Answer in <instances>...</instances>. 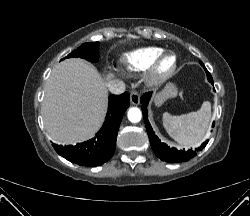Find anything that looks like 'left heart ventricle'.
I'll use <instances>...</instances> for the list:
<instances>
[{"mask_svg":"<svg viewBox=\"0 0 250 216\" xmlns=\"http://www.w3.org/2000/svg\"><path fill=\"white\" fill-rule=\"evenodd\" d=\"M172 62H173L172 58H170V57L164 59L163 62L161 63L160 69L162 71L168 70L171 67Z\"/></svg>","mask_w":250,"mask_h":216,"instance_id":"b2bd125f","label":"left heart ventricle"}]
</instances>
